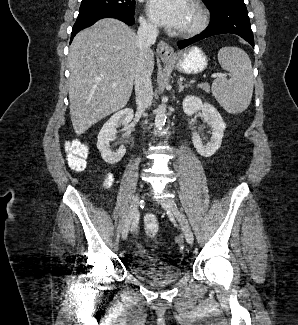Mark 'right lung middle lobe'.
I'll return each instance as SVG.
<instances>
[{"instance_id": "1", "label": "right lung middle lobe", "mask_w": 298, "mask_h": 325, "mask_svg": "<svg viewBox=\"0 0 298 325\" xmlns=\"http://www.w3.org/2000/svg\"><path fill=\"white\" fill-rule=\"evenodd\" d=\"M135 0H82L79 17L112 10L134 15Z\"/></svg>"}]
</instances>
